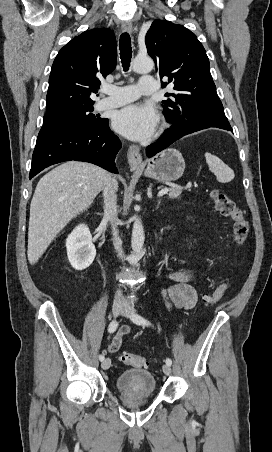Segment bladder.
<instances>
[{
	"mask_svg": "<svg viewBox=\"0 0 272 452\" xmlns=\"http://www.w3.org/2000/svg\"><path fill=\"white\" fill-rule=\"evenodd\" d=\"M115 386L119 391L129 394L152 395L156 391V379L147 369H129L116 378Z\"/></svg>",
	"mask_w": 272,
	"mask_h": 452,
	"instance_id": "31cf9c89",
	"label": "bladder"
}]
</instances>
